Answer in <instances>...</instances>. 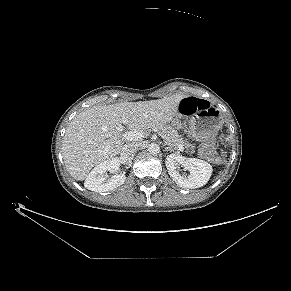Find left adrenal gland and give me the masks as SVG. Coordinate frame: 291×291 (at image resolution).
<instances>
[{"mask_svg": "<svg viewBox=\"0 0 291 291\" xmlns=\"http://www.w3.org/2000/svg\"><path fill=\"white\" fill-rule=\"evenodd\" d=\"M165 151H170V152H174V150L170 147H165Z\"/></svg>", "mask_w": 291, "mask_h": 291, "instance_id": "a2214340", "label": "left adrenal gland"}]
</instances>
